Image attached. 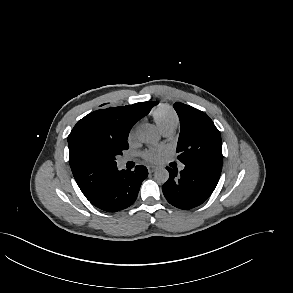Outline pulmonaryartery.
<instances>
[{
  "label": "pulmonary artery",
  "mask_w": 293,
  "mask_h": 293,
  "mask_svg": "<svg viewBox=\"0 0 293 293\" xmlns=\"http://www.w3.org/2000/svg\"><path fill=\"white\" fill-rule=\"evenodd\" d=\"M173 130H167V131H163L162 133L165 135V136H170V135H172L173 134ZM127 161H129V158H123V159H121V161H120V163L121 164H125ZM181 170L182 169H184V165H180V167H179Z\"/></svg>",
  "instance_id": "1"
}]
</instances>
